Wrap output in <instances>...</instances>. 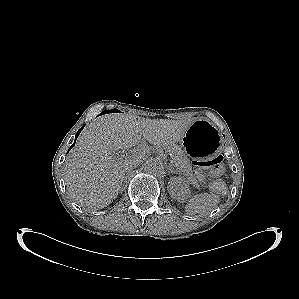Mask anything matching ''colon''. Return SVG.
<instances>
[{
  "label": "colon",
  "instance_id": "1",
  "mask_svg": "<svg viewBox=\"0 0 299 299\" xmlns=\"http://www.w3.org/2000/svg\"><path fill=\"white\" fill-rule=\"evenodd\" d=\"M200 177L216 178L220 176L224 170V159L222 155L215 156L207 161H194Z\"/></svg>",
  "mask_w": 299,
  "mask_h": 299
}]
</instances>
